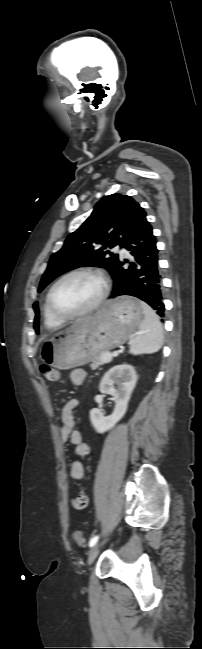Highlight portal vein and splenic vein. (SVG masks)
<instances>
[{"label": "portal vein and splenic vein", "instance_id": "obj_1", "mask_svg": "<svg viewBox=\"0 0 202 649\" xmlns=\"http://www.w3.org/2000/svg\"><path fill=\"white\" fill-rule=\"evenodd\" d=\"M101 359H102V361H103L104 363H108V362H110L111 359H112V354H111V353H108V352H106V353H102V354H101Z\"/></svg>", "mask_w": 202, "mask_h": 649}]
</instances>
